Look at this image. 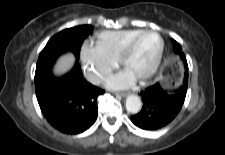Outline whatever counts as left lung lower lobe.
<instances>
[{
    "label": "left lung lower lobe",
    "instance_id": "1",
    "mask_svg": "<svg viewBox=\"0 0 225 155\" xmlns=\"http://www.w3.org/2000/svg\"><path fill=\"white\" fill-rule=\"evenodd\" d=\"M188 81L173 92H167L156 83L141 92L142 110L131 117L144 130H157L169 124L180 112L185 100Z\"/></svg>",
    "mask_w": 225,
    "mask_h": 155
}]
</instances>
